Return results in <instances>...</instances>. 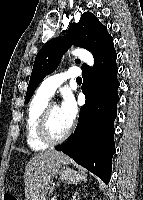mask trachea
I'll return each instance as SVG.
<instances>
[{
    "mask_svg": "<svg viewBox=\"0 0 143 200\" xmlns=\"http://www.w3.org/2000/svg\"><path fill=\"white\" fill-rule=\"evenodd\" d=\"M76 81H77L78 83H81V82H82V79H81L80 77H78V78L76 79Z\"/></svg>",
    "mask_w": 143,
    "mask_h": 200,
    "instance_id": "1",
    "label": "trachea"
}]
</instances>
